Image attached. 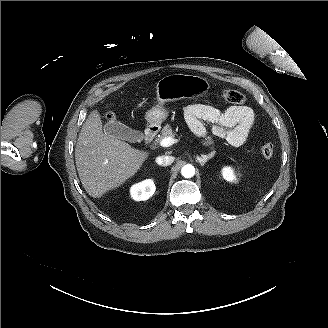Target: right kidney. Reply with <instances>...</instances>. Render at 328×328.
<instances>
[{
  "mask_svg": "<svg viewBox=\"0 0 328 328\" xmlns=\"http://www.w3.org/2000/svg\"><path fill=\"white\" fill-rule=\"evenodd\" d=\"M155 192V186L151 180H147L132 187L131 194L135 200H146Z\"/></svg>",
  "mask_w": 328,
  "mask_h": 328,
  "instance_id": "right-kidney-1",
  "label": "right kidney"
}]
</instances>
